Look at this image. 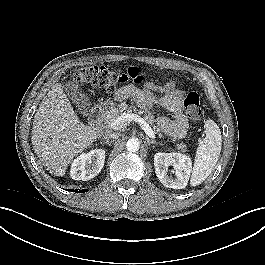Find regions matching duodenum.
<instances>
[{"instance_id":"obj_1","label":"duodenum","mask_w":265,"mask_h":265,"mask_svg":"<svg viewBox=\"0 0 265 265\" xmlns=\"http://www.w3.org/2000/svg\"><path fill=\"white\" fill-rule=\"evenodd\" d=\"M107 105L102 103L93 108L89 115V122L95 128V133L100 135L102 130L100 128L101 121L105 115Z\"/></svg>"}]
</instances>
